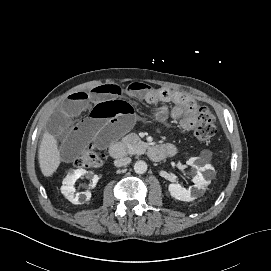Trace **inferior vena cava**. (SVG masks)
Returning a JSON list of instances; mask_svg holds the SVG:
<instances>
[{
	"label": "inferior vena cava",
	"mask_w": 271,
	"mask_h": 271,
	"mask_svg": "<svg viewBox=\"0 0 271 271\" xmlns=\"http://www.w3.org/2000/svg\"><path fill=\"white\" fill-rule=\"evenodd\" d=\"M130 162H131V158H129V157H122V158L116 159L114 161V165L116 167H121V166H125V165L129 164Z\"/></svg>",
	"instance_id": "1"
}]
</instances>
